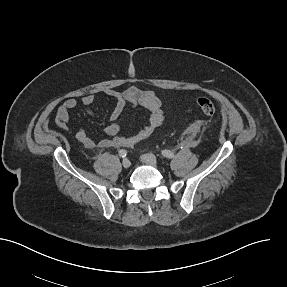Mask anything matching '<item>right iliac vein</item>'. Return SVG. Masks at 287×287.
<instances>
[{
	"mask_svg": "<svg viewBox=\"0 0 287 287\" xmlns=\"http://www.w3.org/2000/svg\"><path fill=\"white\" fill-rule=\"evenodd\" d=\"M122 165H123L124 168H129L131 166V162H130L129 159L125 158L122 161Z\"/></svg>",
	"mask_w": 287,
	"mask_h": 287,
	"instance_id": "right-iliac-vein-1",
	"label": "right iliac vein"
}]
</instances>
